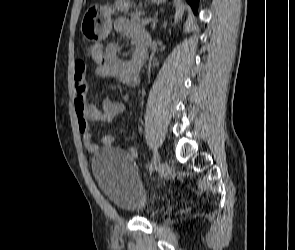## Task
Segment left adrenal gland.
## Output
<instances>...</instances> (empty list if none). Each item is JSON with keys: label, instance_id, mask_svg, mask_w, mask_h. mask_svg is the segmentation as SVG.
Returning <instances> with one entry per match:
<instances>
[{"label": "left adrenal gland", "instance_id": "obj_1", "mask_svg": "<svg viewBox=\"0 0 295 250\" xmlns=\"http://www.w3.org/2000/svg\"><path fill=\"white\" fill-rule=\"evenodd\" d=\"M155 27H156V19L153 21L152 29L155 30Z\"/></svg>", "mask_w": 295, "mask_h": 250}]
</instances>
